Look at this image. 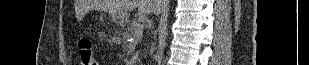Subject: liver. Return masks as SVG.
<instances>
[{
	"label": "liver",
	"mask_w": 309,
	"mask_h": 65,
	"mask_svg": "<svg viewBox=\"0 0 309 65\" xmlns=\"http://www.w3.org/2000/svg\"><path fill=\"white\" fill-rule=\"evenodd\" d=\"M163 0H98L93 6L101 11L125 12L138 8L139 13L159 15L164 7Z\"/></svg>",
	"instance_id": "obj_1"
}]
</instances>
